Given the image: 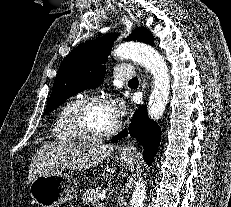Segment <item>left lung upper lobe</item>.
<instances>
[{
    "instance_id": "left-lung-upper-lobe-1",
    "label": "left lung upper lobe",
    "mask_w": 231,
    "mask_h": 207,
    "mask_svg": "<svg viewBox=\"0 0 231 207\" xmlns=\"http://www.w3.org/2000/svg\"><path fill=\"white\" fill-rule=\"evenodd\" d=\"M117 34H107L76 47L61 63L44 114L60 106L67 98L102 83L105 66ZM125 40L153 44L152 34L144 27L135 29Z\"/></svg>"
}]
</instances>
